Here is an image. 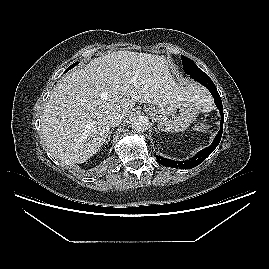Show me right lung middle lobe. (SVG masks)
Returning <instances> with one entry per match:
<instances>
[{
	"label": "right lung middle lobe",
	"mask_w": 269,
	"mask_h": 269,
	"mask_svg": "<svg viewBox=\"0 0 269 269\" xmlns=\"http://www.w3.org/2000/svg\"><path fill=\"white\" fill-rule=\"evenodd\" d=\"M76 65H77V63H74L73 65H71V66L67 69V71L70 70L71 68H73V67L76 66Z\"/></svg>",
	"instance_id": "1"
}]
</instances>
